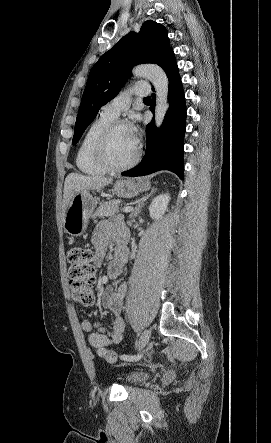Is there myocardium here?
<instances>
[{
  "label": "myocardium",
  "instance_id": "myocardium-1",
  "mask_svg": "<svg viewBox=\"0 0 271 443\" xmlns=\"http://www.w3.org/2000/svg\"><path fill=\"white\" fill-rule=\"evenodd\" d=\"M120 126H131V124L125 119L114 118L111 120L100 133L95 144V155L99 163L108 171L121 172L134 166L142 151V145L137 138V150L133 157L123 164H116L112 161L109 154V143L113 132Z\"/></svg>",
  "mask_w": 271,
  "mask_h": 443
}]
</instances>
